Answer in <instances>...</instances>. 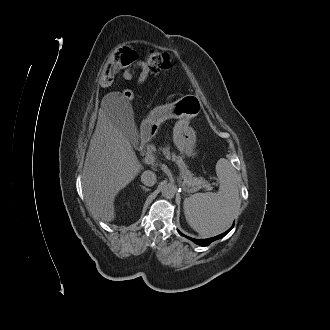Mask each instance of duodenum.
I'll return each mask as SVG.
<instances>
[{"label":"duodenum","instance_id":"410a0bca","mask_svg":"<svg viewBox=\"0 0 330 330\" xmlns=\"http://www.w3.org/2000/svg\"><path fill=\"white\" fill-rule=\"evenodd\" d=\"M145 140H146V134L143 133L141 135H139L136 139H135V144L138 148H141L144 143H145Z\"/></svg>","mask_w":330,"mask_h":330}]
</instances>
